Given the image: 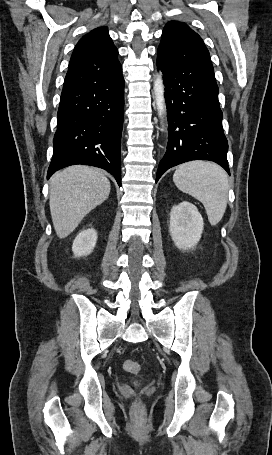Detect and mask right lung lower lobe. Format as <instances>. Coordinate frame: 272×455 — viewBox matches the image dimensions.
Segmentation results:
<instances>
[{
  "label": "right lung lower lobe",
  "mask_w": 272,
  "mask_h": 455,
  "mask_svg": "<svg viewBox=\"0 0 272 455\" xmlns=\"http://www.w3.org/2000/svg\"><path fill=\"white\" fill-rule=\"evenodd\" d=\"M123 112L122 72L63 91L47 179L66 166L85 164L110 172L121 186Z\"/></svg>",
  "instance_id": "1"
}]
</instances>
